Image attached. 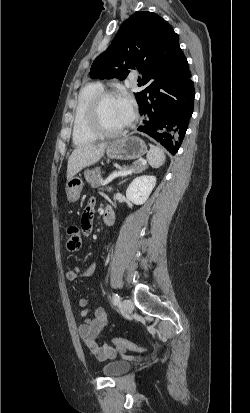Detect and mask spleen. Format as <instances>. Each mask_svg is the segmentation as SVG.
I'll list each match as a JSON object with an SVG mask.
<instances>
[{
	"label": "spleen",
	"instance_id": "obj_1",
	"mask_svg": "<svg viewBox=\"0 0 250 413\" xmlns=\"http://www.w3.org/2000/svg\"><path fill=\"white\" fill-rule=\"evenodd\" d=\"M165 154L162 149H160L157 146H154L150 144V150L147 153V160L148 163L153 167V168H159L162 166L165 162Z\"/></svg>",
	"mask_w": 250,
	"mask_h": 413
}]
</instances>
